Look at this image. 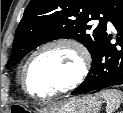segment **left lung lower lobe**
<instances>
[{"label": "left lung lower lobe", "instance_id": "0a47b994", "mask_svg": "<svg viewBox=\"0 0 123 113\" xmlns=\"http://www.w3.org/2000/svg\"><path fill=\"white\" fill-rule=\"evenodd\" d=\"M106 17L119 32L117 43H110L111 35L103 39L92 56L90 72L72 95L123 84V0H110Z\"/></svg>", "mask_w": 123, "mask_h": 113}]
</instances>
